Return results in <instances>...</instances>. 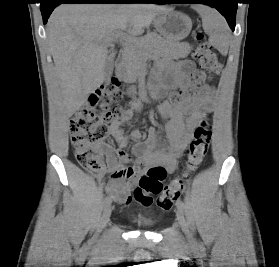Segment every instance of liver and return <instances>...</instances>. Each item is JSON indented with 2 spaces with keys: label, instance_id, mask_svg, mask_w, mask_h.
Masks as SVG:
<instances>
[{
  "label": "liver",
  "instance_id": "obj_1",
  "mask_svg": "<svg viewBox=\"0 0 279 267\" xmlns=\"http://www.w3.org/2000/svg\"><path fill=\"white\" fill-rule=\"evenodd\" d=\"M172 10L150 4H63L51 14L47 40L61 80L68 116L104 82L106 39L118 30L141 35L157 16Z\"/></svg>",
  "mask_w": 279,
  "mask_h": 267
}]
</instances>
